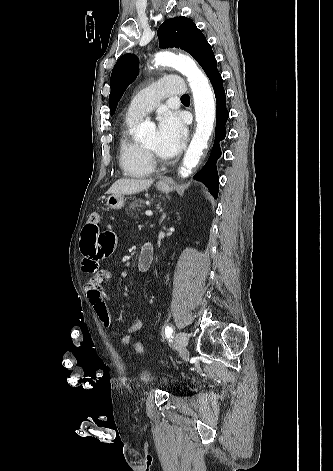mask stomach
Masks as SVG:
<instances>
[{
	"label": "stomach",
	"instance_id": "1",
	"mask_svg": "<svg viewBox=\"0 0 333 471\" xmlns=\"http://www.w3.org/2000/svg\"><path fill=\"white\" fill-rule=\"evenodd\" d=\"M157 190L163 193H169L172 190V186L167 181H159L156 184ZM125 200L121 194H112L106 200V205L110 209L119 210L124 207Z\"/></svg>",
	"mask_w": 333,
	"mask_h": 471
}]
</instances>
